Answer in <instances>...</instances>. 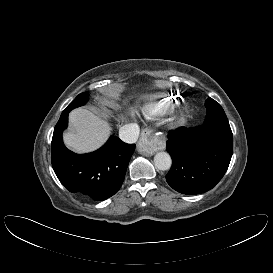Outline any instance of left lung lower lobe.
<instances>
[{
    "instance_id": "obj_1",
    "label": "left lung lower lobe",
    "mask_w": 273,
    "mask_h": 273,
    "mask_svg": "<svg viewBox=\"0 0 273 273\" xmlns=\"http://www.w3.org/2000/svg\"><path fill=\"white\" fill-rule=\"evenodd\" d=\"M166 150L172 158L166 181L174 190L192 195L212 189L227 171L233 153L227 117H206L203 126L171 131Z\"/></svg>"
}]
</instances>
